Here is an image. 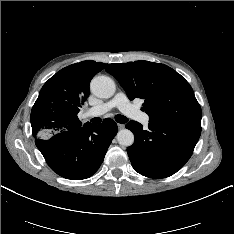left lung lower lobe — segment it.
I'll use <instances>...</instances> for the list:
<instances>
[{"label": "left lung lower lobe", "mask_w": 234, "mask_h": 234, "mask_svg": "<svg viewBox=\"0 0 234 234\" xmlns=\"http://www.w3.org/2000/svg\"><path fill=\"white\" fill-rule=\"evenodd\" d=\"M135 135L127 148L135 171L149 178H165L181 169L191 157L201 134V122H149L148 129L130 121Z\"/></svg>", "instance_id": "obj_1"}]
</instances>
